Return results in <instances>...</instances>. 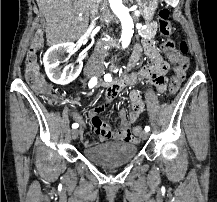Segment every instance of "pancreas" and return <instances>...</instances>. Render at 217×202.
Returning <instances> with one entry per match:
<instances>
[{
  "label": "pancreas",
  "mask_w": 217,
  "mask_h": 202,
  "mask_svg": "<svg viewBox=\"0 0 217 202\" xmlns=\"http://www.w3.org/2000/svg\"><path fill=\"white\" fill-rule=\"evenodd\" d=\"M140 35H142V38H148L150 41L155 37L156 30H140Z\"/></svg>",
  "instance_id": "1"
}]
</instances>
